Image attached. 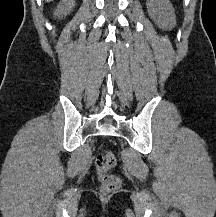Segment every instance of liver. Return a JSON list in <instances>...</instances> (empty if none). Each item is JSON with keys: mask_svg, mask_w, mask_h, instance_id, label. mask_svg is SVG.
<instances>
[{"mask_svg": "<svg viewBox=\"0 0 216 217\" xmlns=\"http://www.w3.org/2000/svg\"><path fill=\"white\" fill-rule=\"evenodd\" d=\"M46 2H51V1H53V0H45Z\"/></svg>", "mask_w": 216, "mask_h": 217, "instance_id": "obj_1", "label": "liver"}]
</instances>
